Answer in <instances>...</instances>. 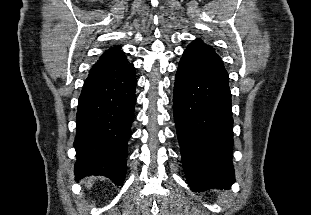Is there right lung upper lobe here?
Returning <instances> with one entry per match:
<instances>
[{
    "label": "right lung upper lobe",
    "instance_id": "right-lung-upper-lobe-1",
    "mask_svg": "<svg viewBox=\"0 0 311 215\" xmlns=\"http://www.w3.org/2000/svg\"><path fill=\"white\" fill-rule=\"evenodd\" d=\"M125 61L128 60L124 55V52L120 49V47L116 46L103 53L97 63H121Z\"/></svg>",
    "mask_w": 311,
    "mask_h": 215
}]
</instances>
